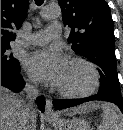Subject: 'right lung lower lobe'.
I'll return each mask as SVG.
<instances>
[{
  "label": "right lung lower lobe",
  "instance_id": "1",
  "mask_svg": "<svg viewBox=\"0 0 123 130\" xmlns=\"http://www.w3.org/2000/svg\"><path fill=\"white\" fill-rule=\"evenodd\" d=\"M1 86H4L14 92H19L24 88L25 82L20 74V71H13L6 67H1ZM36 102L39 109L44 112L45 98L40 96Z\"/></svg>",
  "mask_w": 123,
  "mask_h": 130
}]
</instances>
